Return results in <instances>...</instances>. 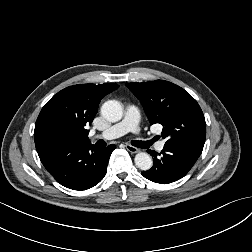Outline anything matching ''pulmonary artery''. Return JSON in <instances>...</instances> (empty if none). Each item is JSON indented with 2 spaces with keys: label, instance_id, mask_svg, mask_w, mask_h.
<instances>
[{
  "label": "pulmonary artery",
  "instance_id": "pulmonary-artery-1",
  "mask_svg": "<svg viewBox=\"0 0 252 252\" xmlns=\"http://www.w3.org/2000/svg\"><path fill=\"white\" fill-rule=\"evenodd\" d=\"M140 113L137 107L127 106L124 118L109 127L105 131L95 134L92 139L111 140L125 135L128 132L139 133ZM157 150L161 151L164 148V143L161 141L156 145Z\"/></svg>",
  "mask_w": 252,
  "mask_h": 252
}]
</instances>
